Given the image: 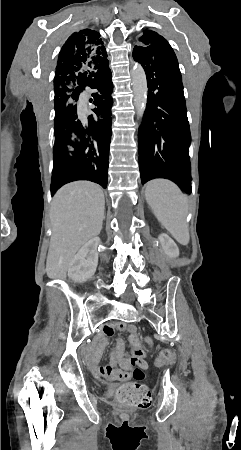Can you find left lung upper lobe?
Returning a JSON list of instances; mask_svg holds the SVG:
<instances>
[{"mask_svg": "<svg viewBox=\"0 0 241 450\" xmlns=\"http://www.w3.org/2000/svg\"><path fill=\"white\" fill-rule=\"evenodd\" d=\"M139 42L140 46H135L134 49L151 55H155L168 45V42L162 36L151 30L144 31V34L139 38Z\"/></svg>", "mask_w": 241, "mask_h": 450, "instance_id": "5c2ea615", "label": "left lung upper lobe"}]
</instances>
